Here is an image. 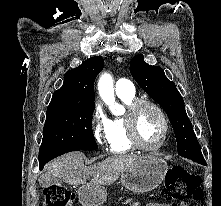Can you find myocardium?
I'll return each instance as SVG.
<instances>
[{
  "label": "myocardium",
  "instance_id": "obj_1",
  "mask_svg": "<svg viewBox=\"0 0 221 206\" xmlns=\"http://www.w3.org/2000/svg\"><path fill=\"white\" fill-rule=\"evenodd\" d=\"M142 107H150L153 110H155L158 115L160 116L162 123H163V135L159 143H157L154 146L146 145L142 142L139 132H138V126H137V115ZM126 126L128 130V135L131 143L133 146L141 151L146 152H153L161 149L165 142L167 141L169 131H170V125L168 118L165 114V112L162 110V108L156 104L153 101L146 100V99H139L135 100L129 107L128 112L126 114Z\"/></svg>",
  "mask_w": 221,
  "mask_h": 206
}]
</instances>
